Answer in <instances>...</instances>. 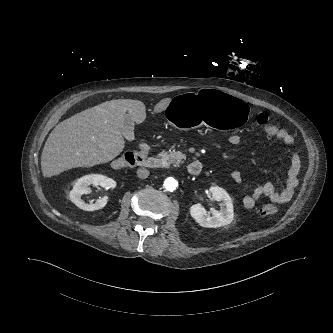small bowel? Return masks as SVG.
<instances>
[{
    "label": "small bowel",
    "mask_w": 333,
    "mask_h": 333,
    "mask_svg": "<svg viewBox=\"0 0 333 333\" xmlns=\"http://www.w3.org/2000/svg\"><path fill=\"white\" fill-rule=\"evenodd\" d=\"M272 138L283 143L287 147L290 154V167L287 172L285 187L282 191H277L275 186L269 182L257 185L251 194L243 197V205L248 209L253 208L256 201L261 197L269 198L271 201L276 203L287 202L291 199L298 184V174L301 162L298 153L293 150V145L295 143L294 136L287 130L278 128L277 135ZM228 141L231 145L238 146L242 143V138L238 134H232L229 136ZM140 149H142L144 153L148 152V146L145 144H142ZM230 175L232 180L237 184L241 185L243 183V174L239 170H233Z\"/></svg>",
    "instance_id": "1"
}]
</instances>
